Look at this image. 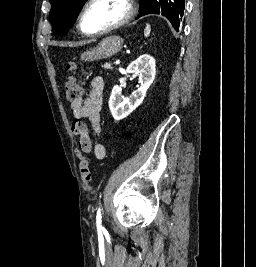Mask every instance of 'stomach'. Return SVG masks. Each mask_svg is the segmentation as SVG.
I'll list each match as a JSON object with an SVG mask.
<instances>
[{
  "mask_svg": "<svg viewBox=\"0 0 256 267\" xmlns=\"http://www.w3.org/2000/svg\"><path fill=\"white\" fill-rule=\"evenodd\" d=\"M123 38L121 36H107L101 40L96 48H89L88 52L81 54V60L85 62H94V60H102V58H110L117 52H120L123 46Z\"/></svg>",
  "mask_w": 256,
  "mask_h": 267,
  "instance_id": "obj_1",
  "label": "stomach"
}]
</instances>
